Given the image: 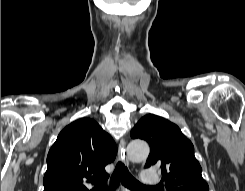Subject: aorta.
Here are the masks:
<instances>
[{"label": "aorta", "mask_w": 245, "mask_h": 191, "mask_svg": "<svg viewBox=\"0 0 245 191\" xmlns=\"http://www.w3.org/2000/svg\"><path fill=\"white\" fill-rule=\"evenodd\" d=\"M127 155L133 162L144 161L149 155V146L144 141L133 140L127 146Z\"/></svg>", "instance_id": "obj_1"}]
</instances>
